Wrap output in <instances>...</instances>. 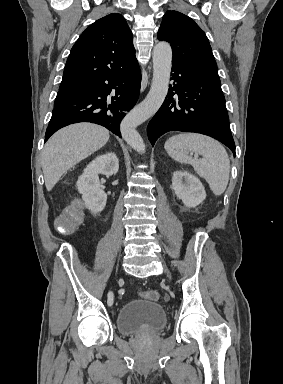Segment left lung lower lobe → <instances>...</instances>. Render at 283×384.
I'll list each match as a JSON object with an SVG mask.
<instances>
[{
  "mask_svg": "<svg viewBox=\"0 0 283 384\" xmlns=\"http://www.w3.org/2000/svg\"><path fill=\"white\" fill-rule=\"evenodd\" d=\"M172 71L174 83L147 128L152 145L169 131L196 132L219 140L235 156L219 76L176 63H173Z\"/></svg>",
  "mask_w": 283,
  "mask_h": 384,
  "instance_id": "obj_1",
  "label": "left lung lower lobe"
}]
</instances>
